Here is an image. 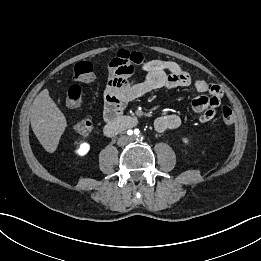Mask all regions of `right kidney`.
I'll list each match as a JSON object with an SVG mask.
<instances>
[{"mask_svg":"<svg viewBox=\"0 0 261 261\" xmlns=\"http://www.w3.org/2000/svg\"><path fill=\"white\" fill-rule=\"evenodd\" d=\"M90 150V145L86 142L82 143L80 147L76 150V153L80 156H84Z\"/></svg>","mask_w":261,"mask_h":261,"instance_id":"obj_1","label":"right kidney"}]
</instances>
